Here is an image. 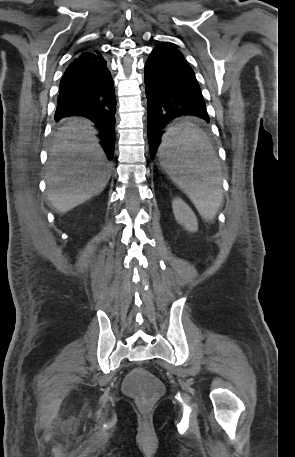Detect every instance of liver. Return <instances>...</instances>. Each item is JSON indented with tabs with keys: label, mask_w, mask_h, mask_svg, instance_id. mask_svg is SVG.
Here are the masks:
<instances>
[{
	"label": "liver",
	"mask_w": 295,
	"mask_h": 457,
	"mask_svg": "<svg viewBox=\"0 0 295 457\" xmlns=\"http://www.w3.org/2000/svg\"><path fill=\"white\" fill-rule=\"evenodd\" d=\"M59 130L51 152L54 156L64 153L70 158L48 163L47 196L58 212L66 213L100 194L109 181L110 172L95 136L97 131L89 120L69 118Z\"/></svg>",
	"instance_id": "obj_1"
}]
</instances>
